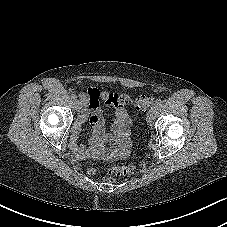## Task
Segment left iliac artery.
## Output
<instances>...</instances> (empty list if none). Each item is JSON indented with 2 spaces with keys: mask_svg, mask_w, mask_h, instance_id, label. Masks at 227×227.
Listing matches in <instances>:
<instances>
[{
  "mask_svg": "<svg viewBox=\"0 0 227 227\" xmlns=\"http://www.w3.org/2000/svg\"><path fill=\"white\" fill-rule=\"evenodd\" d=\"M162 104H163V101L159 100V101L156 102L155 106L158 109L162 106Z\"/></svg>",
  "mask_w": 227,
  "mask_h": 227,
  "instance_id": "44dca946",
  "label": "left iliac artery"
}]
</instances>
